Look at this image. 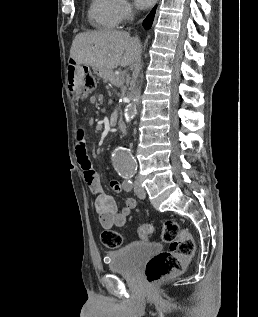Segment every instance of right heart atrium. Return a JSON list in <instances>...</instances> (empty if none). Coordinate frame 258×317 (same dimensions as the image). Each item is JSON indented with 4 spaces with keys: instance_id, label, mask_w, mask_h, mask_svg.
Wrapping results in <instances>:
<instances>
[{
    "instance_id": "1",
    "label": "right heart atrium",
    "mask_w": 258,
    "mask_h": 317,
    "mask_svg": "<svg viewBox=\"0 0 258 317\" xmlns=\"http://www.w3.org/2000/svg\"><path fill=\"white\" fill-rule=\"evenodd\" d=\"M132 6L128 0H118L117 2V16L120 23H124L132 16Z\"/></svg>"
}]
</instances>
